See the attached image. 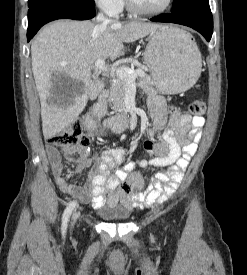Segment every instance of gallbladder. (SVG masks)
<instances>
[{
  "label": "gallbladder",
  "mask_w": 247,
  "mask_h": 275,
  "mask_svg": "<svg viewBox=\"0 0 247 275\" xmlns=\"http://www.w3.org/2000/svg\"><path fill=\"white\" fill-rule=\"evenodd\" d=\"M79 82L73 80L69 75L63 73L54 76L50 81V92L52 95L60 92L74 95Z\"/></svg>",
  "instance_id": "obj_1"
}]
</instances>
